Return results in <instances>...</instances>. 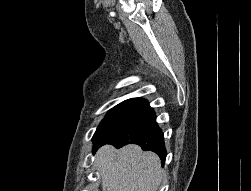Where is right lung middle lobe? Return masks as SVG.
Returning <instances> with one entry per match:
<instances>
[{
  "label": "right lung middle lobe",
  "instance_id": "obj_1",
  "mask_svg": "<svg viewBox=\"0 0 251 191\" xmlns=\"http://www.w3.org/2000/svg\"><path fill=\"white\" fill-rule=\"evenodd\" d=\"M143 110L129 109L123 107L112 108L98 126L92 140L93 152L102 144L127 127L135 120Z\"/></svg>",
  "mask_w": 251,
  "mask_h": 191
}]
</instances>
